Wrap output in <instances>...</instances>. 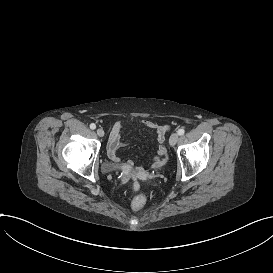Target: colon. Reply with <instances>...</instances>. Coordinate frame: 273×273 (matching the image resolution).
Wrapping results in <instances>:
<instances>
[{"label": "colon", "instance_id": "obj_1", "mask_svg": "<svg viewBox=\"0 0 273 273\" xmlns=\"http://www.w3.org/2000/svg\"><path fill=\"white\" fill-rule=\"evenodd\" d=\"M148 201V193L146 191H139L135 194V200L131 202L130 209L137 213L141 208L145 207Z\"/></svg>", "mask_w": 273, "mask_h": 273}]
</instances>
